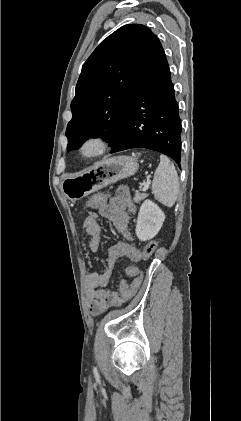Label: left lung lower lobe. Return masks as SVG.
Here are the masks:
<instances>
[{
  "mask_svg": "<svg viewBox=\"0 0 241 421\" xmlns=\"http://www.w3.org/2000/svg\"><path fill=\"white\" fill-rule=\"evenodd\" d=\"M147 148L181 161V120L166 55L155 43L111 153Z\"/></svg>",
  "mask_w": 241,
  "mask_h": 421,
  "instance_id": "left-lung-lower-lobe-1",
  "label": "left lung lower lobe"
}]
</instances>
